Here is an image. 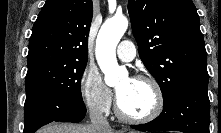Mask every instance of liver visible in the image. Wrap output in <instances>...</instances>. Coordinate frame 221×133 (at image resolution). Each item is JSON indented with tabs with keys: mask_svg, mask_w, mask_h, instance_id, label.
Masks as SVG:
<instances>
[{
	"mask_svg": "<svg viewBox=\"0 0 221 133\" xmlns=\"http://www.w3.org/2000/svg\"><path fill=\"white\" fill-rule=\"evenodd\" d=\"M38 133H99L92 125H73L67 123H52L38 131ZM102 133H122L111 128L105 129ZM135 133V132H130Z\"/></svg>",
	"mask_w": 221,
	"mask_h": 133,
	"instance_id": "liver-1",
	"label": "liver"
}]
</instances>
